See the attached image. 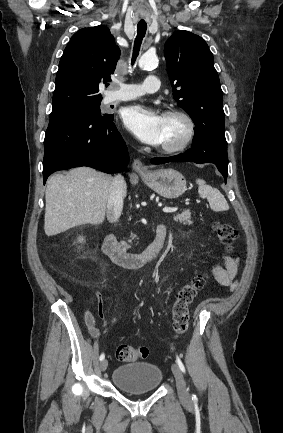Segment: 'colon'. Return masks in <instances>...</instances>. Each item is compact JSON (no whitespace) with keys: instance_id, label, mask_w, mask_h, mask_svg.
<instances>
[{"instance_id":"obj_1","label":"colon","mask_w":283,"mask_h":433,"mask_svg":"<svg viewBox=\"0 0 283 433\" xmlns=\"http://www.w3.org/2000/svg\"><path fill=\"white\" fill-rule=\"evenodd\" d=\"M213 227L220 242L227 248H231L238 238V231L233 226L222 222H215ZM207 278V275L195 276L177 291L172 307L173 330L176 337L186 333L190 320L189 308L204 287ZM115 354L119 360L131 362L146 358L148 349L144 346L121 344L116 348Z\"/></svg>"}]
</instances>
